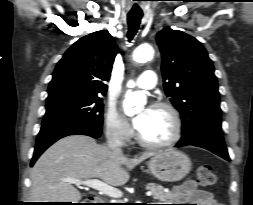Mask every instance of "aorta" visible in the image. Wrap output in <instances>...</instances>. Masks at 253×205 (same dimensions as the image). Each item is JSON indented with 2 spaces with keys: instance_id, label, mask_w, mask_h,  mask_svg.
Listing matches in <instances>:
<instances>
[{
  "instance_id": "obj_1",
  "label": "aorta",
  "mask_w": 253,
  "mask_h": 205,
  "mask_svg": "<svg viewBox=\"0 0 253 205\" xmlns=\"http://www.w3.org/2000/svg\"><path fill=\"white\" fill-rule=\"evenodd\" d=\"M154 50L148 44L138 46L133 52V58L138 63H144L152 59ZM128 87H134V82L129 81ZM146 104V96L143 92H128L124 101V112L128 116H132L139 112Z\"/></svg>"
}]
</instances>
